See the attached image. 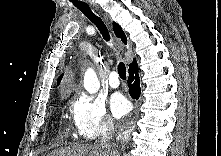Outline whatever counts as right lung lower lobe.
<instances>
[{
    "mask_svg": "<svg viewBox=\"0 0 221 156\" xmlns=\"http://www.w3.org/2000/svg\"><path fill=\"white\" fill-rule=\"evenodd\" d=\"M128 86L130 96L133 99H138L140 97L141 91L137 64L129 66Z\"/></svg>",
    "mask_w": 221,
    "mask_h": 156,
    "instance_id": "obj_1",
    "label": "right lung lower lobe"
}]
</instances>
